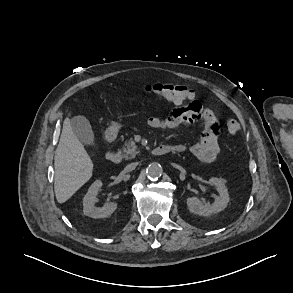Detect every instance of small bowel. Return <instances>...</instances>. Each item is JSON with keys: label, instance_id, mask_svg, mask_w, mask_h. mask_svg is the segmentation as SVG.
Wrapping results in <instances>:
<instances>
[{"label": "small bowel", "instance_id": "c3829d8e", "mask_svg": "<svg viewBox=\"0 0 293 293\" xmlns=\"http://www.w3.org/2000/svg\"><path fill=\"white\" fill-rule=\"evenodd\" d=\"M176 105L164 116L150 117L149 126L156 129H171L184 124L203 126L204 130L199 139L190 146L174 145L178 148L176 153L189 151L204 163L214 162L221 151V130L214 113L210 109H203L197 101H193L189 106Z\"/></svg>", "mask_w": 293, "mask_h": 293}]
</instances>
